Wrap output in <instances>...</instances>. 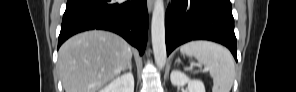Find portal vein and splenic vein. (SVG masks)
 <instances>
[{"mask_svg":"<svg viewBox=\"0 0 296 92\" xmlns=\"http://www.w3.org/2000/svg\"><path fill=\"white\" fill-rule=\"evenodd\" d=\"M202 71H203V72H206V71H208V68H204Z\"/></svg>","mask_w":296,"mask_h":92,"instance_id":"18ae733b","label":"portal vein and splenic vein"}]
</instances>
